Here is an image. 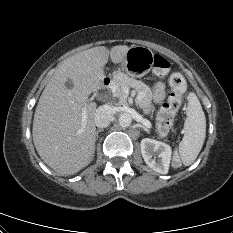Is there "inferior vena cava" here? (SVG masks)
<instances>
[{"mask_svg": "<svg viewBox=\"0 0 233 233\" xmlns=\"http://www.w3.org/2000/svg\"><path fill=\"white\" fill-rule=\"evenodd\" d=\"M114 109L109 105H103L98 107L95 114V125L98 128H105L109 126L113 120Z\"/></svg>", "mask_w": 233, "mask_h": 233, "instance_id": "602c4592", "label": "inferior vena cava"}]
</instances>
